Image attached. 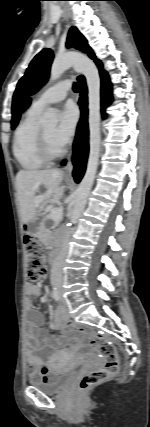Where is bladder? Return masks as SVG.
I'll return each instance as SVG.
<instances>
[{
  "instance_id": "bladder-1",
  "label": "bladder",
  "mask_w": 150,
  "mask_h": 427,
  "mask_svg": "<svg viewBox=\"0 0 150 427\" xmlns=\"http://www.w3.org/2000/svg\"><path fill=\"white\" fill-rule=\"evenodd\" d=\"M73 374V369L51 371L46 379L31 377L29 383L47 394H58L65 389Z\"/></svg>"
}]
</instances>
